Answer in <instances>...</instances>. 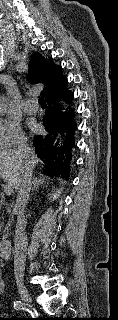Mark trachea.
I'll list each match as a JSON object with an SVG mask.
<instances>
[{"label": "trachea", "instance_id": "1", "mask_svg": "<svg viewBox=\"0 0 118 320\" xmlns=\"http://www.w3.org/2000/svg\"><path fill=\"white\" fill-rule=\"evenodd\" d=\"M38 103H39L41 106H43V107L46 106V102H45L44 98H40V99L38 100Z\"/></svg>", "mask_w": 118, "mask_h": 320}]
</instances>
